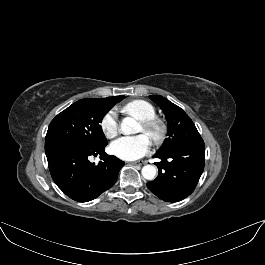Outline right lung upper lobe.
<instances>
[{
  "mask_svg": "<svg viewBox=\"0 0 265 265\" xmlns=\"http://www.w3.org/2000/svg\"><path fill=\"white\" fill-rule=\"evenodd\" d=\"M123 98H124V96H114V97H108V98H103V99H105V100H107L110 103H113L115 105L118 101H120Z\"/></svg>",
  "mask_w": 265,
  "mask_h": 265,
  "instance_id": "obj_1",
  "label": "right lung upper lobe"
}]
</instances>
